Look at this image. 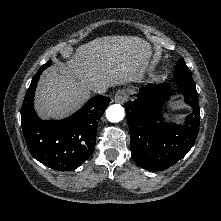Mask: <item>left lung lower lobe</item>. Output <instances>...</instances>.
Masks as SVG:
<instances>
[{"label": "left lung lower lobe", "mask_w": 221, "mask_h": 221, "mask_svg": "<svg viewBox=\"0 0 221 221\" xmlns=\"http://www.w3.org/2000/svg\"><path fill=\"white\" fill-rule=\"evenodd\" d=\"M174 79L178 93L193 109L185 124L166 123L162 118L161 105L174 94L167 83L141 88L136 100L125 104L131 154L147 170L162 171L174 165L193 147L198 135L200 108L192 75L176 74Z\"/></svg>", "instance_id": "0a47b994"}]
</instances>
